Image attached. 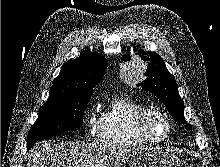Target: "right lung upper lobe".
I'll return each mask as SVG.
<instances>
[{
    "mask_svg": "<svg viewBox=\"0 0 220 167\" xmlns=\"http://www.w3.org/2000/svg\"><path fill=\"white\" fill-rule=\"evenodd\" d=\"M107 64V60L99 54L83 51L80 57L63 65L59 76L53 81L49 99L92 92V88L102 79Z\"/></svg>",
    "mask_w": 220,
    "mask_h": 167,
    "instance_id": "cb5924a9",
    "label": "right lung upper lobe"
}]
</instances>
